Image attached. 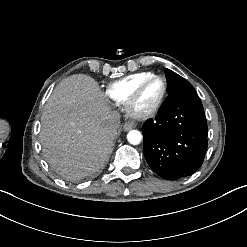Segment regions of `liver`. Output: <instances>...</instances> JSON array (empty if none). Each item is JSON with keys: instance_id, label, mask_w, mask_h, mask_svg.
I'll return each instance as SVG.
<instances>
[{"instance_id": "6515ba94", "label": "liver", "mask_w": 247, "mask_h": 247, "mask_svg": "<svg viewBox=\"0 0 247 247\" xmlns=\"http://www.w3.org/2000/svg\"><path fill=\"white\" fill-rule=\"evenodd\" d=\"M113 111L98 83L72 75L53 91L41 117L40 141L50 166L69 181L90 176L109 160Z\"/></svg>"}]
</instances>
